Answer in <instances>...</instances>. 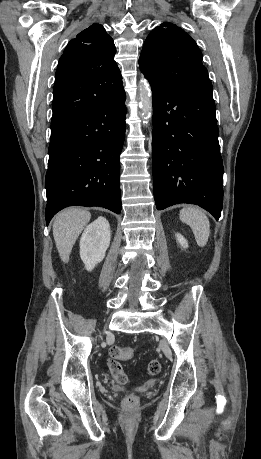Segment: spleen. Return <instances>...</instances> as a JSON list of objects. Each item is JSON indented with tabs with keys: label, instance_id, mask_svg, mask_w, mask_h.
<instances>
[{
	"label": "spleen",
	"instance_id": "obj_1",
	"mask_svg": "<svg viewBox=\"0 0 261 459\" xmlns=\"http://www.w3.org/2000/svg\"><path fill=\"white\" fill-rule=\"evenodd\" d=\"M179 217L191 227L197 244L204 247L210 235V222L204 211L196 207H186L180 210Z\"/></svg>",
	"mask_w": 261,
	"mask_h": 459
}]
</instances>
